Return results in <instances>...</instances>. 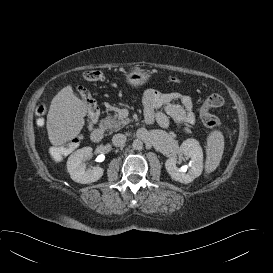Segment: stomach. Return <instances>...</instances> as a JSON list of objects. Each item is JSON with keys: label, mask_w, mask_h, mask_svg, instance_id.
Returning <instances> with one entry per match:
<instances>
[{"label": "stomach", "mask_w": 273, "mask_h": 273, "mask_svg": "<svg viewBox=\"0 0 273 273\" xmlns=\"http://www.w3.org/2000/svg\"><path fill=\"white\" fill-rule=\"evenodd\" d=\"M150 75L143 69L133 68L126 73V82L134 87L138 88L144 85L149 80Z\"/></svg>", "instance_id": "obj_1"}]
</instances>
